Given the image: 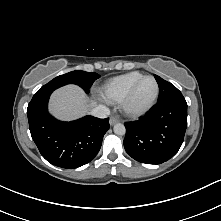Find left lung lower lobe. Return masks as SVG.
<instances>
[{"label":"left lung lower lobe","mask_w":221,"mask_h":221,"mask_svg":"<svg viewBox=\"0 0 221 221\" xmlns=\"http://www.w3.org/2000/svg\"><path fill=\"white\" fill-rule=\"evenodd\" d=\"M126 152L136 161L161 164L180 149L187 127L184 97L158 102L136 122L125 123Z\"/></svg>","instance_id":"1"}]
</instances>
